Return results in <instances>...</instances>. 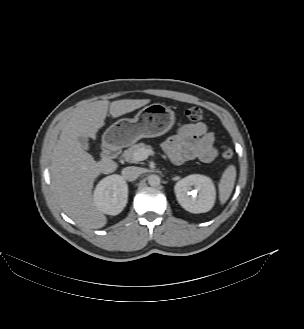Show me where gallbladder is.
I'll use <instances>...</instances> for the list:
<instances>
[{
    "label": "gallbladder",
    "mask_w": 304,
    "mask_h": 329,
    "mask_svg": "<svg viewBox=\"0 0 304 329\" xmlns=\"http://www.w3.org/2000/svg\"><path fill=\"white\" fill-rule=\"evenodd\" d=\"M78 141L79 143L81 144L82 148L84 150H88L89 149V146H88V138L85 137V136H79L78 137Z\"/></svg>",
    "instance_id": "1"
}]
</instances>
